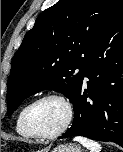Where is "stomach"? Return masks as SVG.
Instances as JSON below:
<instances>
[{"label":"stomach","instance_id":"1","mask_svg":"<svg viewBox=\"0 0 123 152\" xmlns=\"http://www.w3.org/2000/svg\"><path fill=\"white\" fill-rule=\"evenodd\" d=\"M52 152H82V150L75 144H63L55 147Z\"/></svg>","mask_w":123,"mask_h":152}]
</instances>
